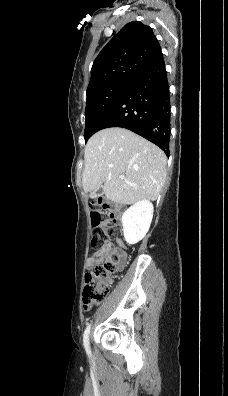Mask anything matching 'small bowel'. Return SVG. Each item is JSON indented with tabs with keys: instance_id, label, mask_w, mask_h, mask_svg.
I'll return each instance as SVG.
<instances>
[{
	"instance_id": "1",
	"label": "small bowel",
	"mask_w": 228,
	"mask_h": 396,
	"mask_svg": "<svg viewBox=\"0 0 228 396\" xmlns=\"http://www.w3.org/2000/svg\"><path fill=\"white\" fill-rule=\"evenodd\" d=\"M110 252V247L109 245H105L101 247L99 250H97L94 254L88 257L86 265L88 268H92L103 261L106 260L108 253ZM124 264V261L122 262V265Z\"/></svg>"
}]
</instances>
